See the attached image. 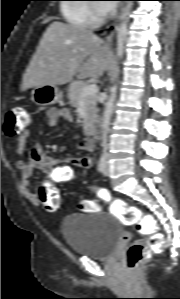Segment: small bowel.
Wrapping results in <instances>:
<instances>
[{
	"label": "small bowel",
	"mask_w": 180,
	"mask_h": 299,
	"mask_svg": "<svg viewBox=\"0 0 180 299\" xmlns=\"http://www.w3.org/2000/svg\"><path fill=\"white\" fill-rule=\"evenodd\" d=\"M47 118L50 128H56L62 121L70 122L72 120L68 109L56 107L48 109ZM31 135V131L27 129L17 138L15 153L18 161L16 167L20 171L21 187L26 198L32 204L38 205L40 203L39 195L31 191L30 181L35 170L48 174L55 181L64 182L69 179L74 167L89 168L92 161L89 157H52L44 153L39 145H35L31 149L28 159L24 160L26 143ZM79 146L83 151H91L93 149V141L85 138L80 141Z\"/></svg>",
	"instance_id": "obj_1"
}]
</instances>
